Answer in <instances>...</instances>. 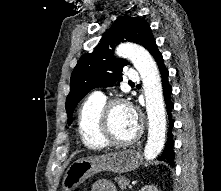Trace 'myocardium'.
<instances>
[{"label":"myocardium","instance_id":"myocardium-1","mask_svg":"<svg viewBox=\"0 0 221 191\" xmlns=\"http://www.w3.org/2000/svg\"><path fill=\"white\" fill-rule=\"evenodd\" d=\"M126 104L127 103L125 100L116 98L106 102L102 108L100 116V136L108 146L123 147L131 145L139 138L141 134L142 128L141 126H137L134 134L128 139L121 140L114 136L111 127L113 111L118 107L126 106Z\"/></svg>","mask_w":221,"mask_h":191}]
</instances>
